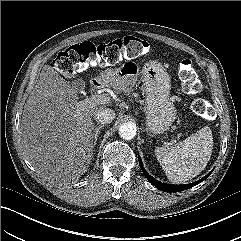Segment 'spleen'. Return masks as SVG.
Here are the masks:
<instances>
[{"label":"spleen","mask_w":241,"mask_h":241,"mask_svg":"<svg viewBox=\"0 0 241 241\" xmlns=\"http://www.w3.org/2000/svg\"><path fill=\"white\" fill-rule=\"evenodd\" d=\"M212 150V132L208 126H205L183 142L170 147L157 148L155 155L171 182L184 183L205 169Z\"/></svg>","instance_id":"spleen-1"}]
</instances>
